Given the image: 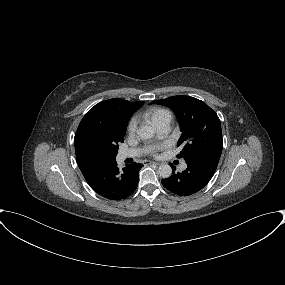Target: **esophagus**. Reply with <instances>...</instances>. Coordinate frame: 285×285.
Instances as JSON below:
<instances>
[{
  "label": "esophagus",
  "instance_id": "obj_1",
  "mask_svg": "<svg viewBox=\"0 0 285 285\" xmlns=\"http://www.w3.org/2000/svg\"><path fill=\"white\" fill-rule=\"evenodd\" d=\"M148 164H155V165H160V162H154V161H149Z\"/></svg>",
  "mask_w": 285,
  "mask_h": 285
}]
</instances>
